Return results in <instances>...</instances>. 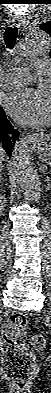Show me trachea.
<instances>
[{"mask_svg":"<svg viewBox=\"0 0 51 393\" xmlns=\"http://www.w3.org/2000/svg\"><path fill=\"white\" fill-rule=\"evenodd\" d=\"M16 38H17V28L15 26L7 27L4 32V41L8 49L12 50L14 48L16 44Z\"/></svg>","mask_w":51,"mask_h":393,"instance_id":"3493384b","label":"trachea"}]
</instances>
